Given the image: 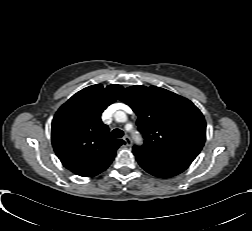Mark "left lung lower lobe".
Masks as SVG:
<instances>
[{"mask_svg":"<svg viewBox=\"0 0 252 231\" xmlns=\"http://www.w3.org/2000/svg\"><path fill=\"white\" fill-rule=\"evenodd\" d=\"M139 165L148 173L160 177L169 178L186 170L192 160L177 156H154L133 152Z\"/></svg>","mask_w":252,"mask_h":231,"instance_id":"0a47b994","label":"left lung lower lobe"}]
</instances>
